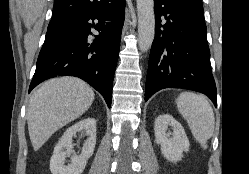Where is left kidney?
Segmentation results:
<instances>
[{"instance_id": "5707ae66", "label": "left kidney", "mask_w": 249, "mask_h": 174, "mask_svg": "<svg viewBox=\"0 0 249 174\" xmlns=\"http://www.w3.org/2000/svg\"><path fill=\"white\" fill-rule=\"evenodd\" d=\"M171 127L172 132L167 129ZM156 143L161 147V153L168 161L176 163L183 157V152L189 150V140L183 126L172 115H159L154 125Z\"/></svg>"}]
</instances>
